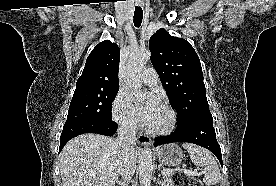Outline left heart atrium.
I'll return each mask as SVG.
<instances>
[{"mask_svg": "<svg viewBox=\"0 0 276 186\" xmlns=\"http://www.w3.org/2000/svg\"><path fill=\"white\" fill-rule=\"evenodd\" d=\"M160 103L154 97L148 99V101L141 107L135 105L134 100L132 104V113L136 120L143 126L149 127L155 113L157 112Z\"/></svg>", "mask_w": 276, "mask_h": 186, "instance_id": "left-heart-atrium-1", "label": "left heart atrium"}]
</instances>
